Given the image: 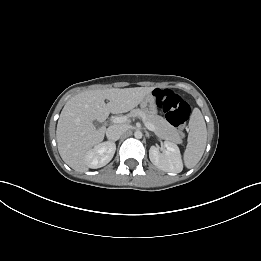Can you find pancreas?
I'll return each instance as SVG.
<instances>
[{
	"instance_id": "obj_1",
	"label": "pancreas",
	"mask_w": 261,
	"mask_h": 261,
	"mask_svg": "<svg viewBox=\"0 0 261 261\" xmlns=\"http://www.w3.org/2000/svg\"><path fill=\"white\" fill-rule=\"evenodd\" d=\"M129 117H140L143 121L149 122L155 127L154 133L161 139L176 144L182 143V138L178 130L167 120L157 114L146 113L140 109H133L128 114Z\"/></svg>"
}]
</instances>
